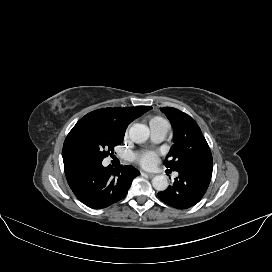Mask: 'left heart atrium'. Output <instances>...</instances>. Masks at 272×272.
Instances as JSON below:
<instances>
[{
    "mask_svg": "<svg viewBox=\"0 0 272 272\" xmlns=\"http://www.w3.org/2000/svg\"><path fill=\"white\" fill-rule=\"evenodd\" d=\"M157 159V154L152 151H145L137 156L138 162L145 167L152 166Z\"/></svg>",
    "mask_w": 272,
    "mask_h": 272,
    "instance_id": "obj_1",
    "label": "left heart atrium"
}]
</instances>
